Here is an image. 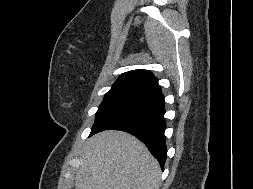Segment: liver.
<instances>
[{
	"label": "liver",
	"mask_w": 253,
	"mask_h": 189,
	"mask_svg": "<svg viewBox=\"0 0 253 189\" xmlns=\"http://www.w3.org/2000/svg\"><path fill=\"white\" fill-rule=\"evenodd\" d=\"M82 158L75 189H159L157 160L131 134H96L88 140Z\"/></svg>",
	"instance_id": "liver-1"
}]
</instances>
